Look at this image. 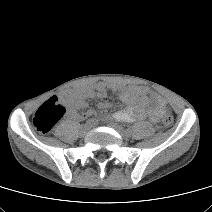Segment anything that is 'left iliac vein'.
Returning a JSON list of instances; mask_svg holds the SVG:
<instances>
[{
    "label": "left iliac vein",
    "mask_w": 212,
    "mask_h": 212,
    "mask_svg": "<svg viewBox=\"0 0 212 212\" xmlns=\"http://www.w3.org/2000/svg\"><path fill=\"white\" fill-rule=\"evenodd\" d=\"M109 125L113 129H115L121 136L124 137L127 135L126 130L122 126L118 125L117 123H110Z\"/></svg>",
    "instance_id": "obj_1"
}]
</instances>
